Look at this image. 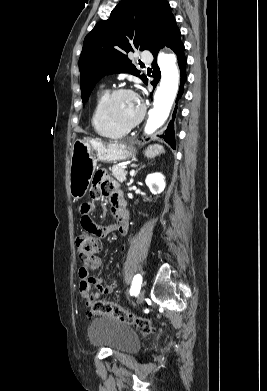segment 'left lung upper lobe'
I'll return each instance as SVG.
<instances>
[{"label":"left lung upper lobe","instance_id":"left-lung-upper-lobe-1","mask_svg":"<svg viewBox=\"0 0 267 391\" xmlns=\"http://www.w3.org/2000/svg\"><path fill=\"white\" fill-rule=\"evenodd\" d=\"M176 26L166 0H122L110 18L98 22L85 37L79 59L82 101L86 102L105 75L130 73L144 83L147 77L127 54L135 49L150 52Z\"/></svg>","mask_w":267,"mask_h":391}]
</instances>
